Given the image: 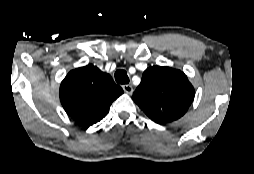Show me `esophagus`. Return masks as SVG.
Masks as SVG:
<instances>
[{
	"instance_id": "1",
	"label": "esophagus",
	"mask_w": 254,
	"mask_h": 174,
	"mask_svg": "<svg viewBox=\"0 0 254 174\" xmlns=\"http://www.w3.org/2000/svg\"><path fill=\"white\" fill-rule=\"evenodd\" d=\"M123 90L127 94H131L133 92V87L130 84H125L122 86Z\"/></svg>"
}]
</instances>
